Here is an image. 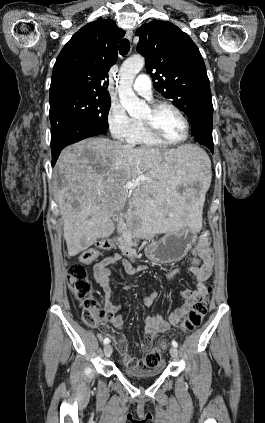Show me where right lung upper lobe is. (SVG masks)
<instances>
[{
  "label": "right lung upper lobe",
  "mask_w": 265,
  "mask_h": 423,
  "mask_svg": "<svg viewBox=\"0 0 265 423\" xmlns=\"http://www.w3.org/2000/svg\"><path fill=\"white\" fill-rule=\"evenodd\" d=\"M124 34L113 20L102 18L77 31L57 57L50 97L64 93L110 97L108 71L117 61L118 41Z\"/></svg>",
  "instance_id": "1"
}]
</instances>
